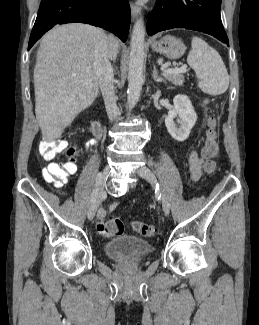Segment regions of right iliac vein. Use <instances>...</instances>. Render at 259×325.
<instances>
[{"label": "right iliac vein", "mask_w": 259, "mask_h": 325, "mask_svg": "<svg viewBox=\"0 0 259 325\" xmlns=\"http://www.w3.org/2000/svg\"><path fill=\"white\" fill-rule=\"evenodd\" d=\"M110 168L109 166H106L102 172H100V185H99V193L97 194L96 198L91 202V205L88 210V219L92 220L96 214V211L99 207L100 202V196L104 191L107 178L109 176Z\"/></svg>", "instance_id": "63e3f726"}]
</instances>
